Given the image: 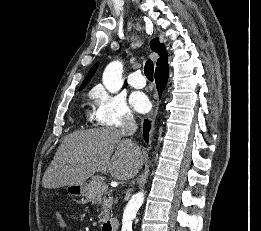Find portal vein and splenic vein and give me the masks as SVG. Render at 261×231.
<instances>
[{"label": "portal vein and splenic vein", "instance_id": "1", "mask_svg": "<svg viewBox=\"0 0 261 231\" xmlns=\"http://www.w3.org/2000/svg\"><path fill=\"white\" fill-rule=\"evenodd\" d=\"M102 191H107L108 190V185L107 184H104L102 187H101Z\"/></svg>", "mask_w": 261, "mask_h": 231}]
</instances>
